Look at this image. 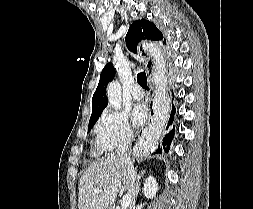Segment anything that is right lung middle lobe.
I'll list each match as a JSON object with an SVG mask.
<instances>
[{"label": "right lung middle lobe", "instance_id": "right-lung-middle-lobe-1", "mask_svg": "<svg viewBox=\"0 0 253 209\" xmlns=\"http://www.w3.org/2000/svg\"><path fill=\"white\" fill-rule=\"evenodd\" d=\"M97 120H98V118L91 119V120L89 121L88 132L92 129V127L94 126V124L96 123Z\"/></svg>", "mask_w": 253, "mask_h": 209}]
</instances>
